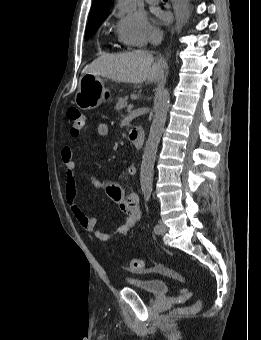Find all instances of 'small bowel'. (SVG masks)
<instances>
[{
	"label": "small bowel",
	"instance_id": "obj_1",
	"mask_svg": "<svg viewBox=\"0 0 261 340\" xmlns=\"http://www.w3.org/2000/svg\"><path fill=\"white\" fill-rule=\"evenodd\" d=\"M97 133L100 136H107L109 127L105 123L97 126ZM61 158L66 169V201L70 209L83 229L93 232L94 236L103 242L111 240L112 235L101 229L96 228V219L88 215L80 205L77 199V186L74 178V170L76 167L73 152L70 147H64L61 151ZM137 169L134 165H130L118 177V181L125 179L127 176L136 175ZM90 183L97 189H104L108 197L118 205L119 209L126 214L123 222L117 227L115 233L125 234L137 221L141 218L139 207V197L135 192H126L117 181L103 182L96 176L89 177Z\"/></svg>",
	"mask_w": 261,
	"mask_h": 340
}]
</instances>
